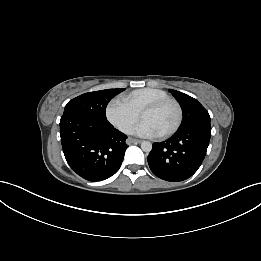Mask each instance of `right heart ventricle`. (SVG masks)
Masks as SVG:
<instances>
[{
    "label": "right heart ventricle",
    "instance_id": "obj_1",
    "mask_svg": "<svg viewBox=\"0 0 261 261\" xmlns=\"http://www.w3.org/2000/svg\"><path fill=\"white\" fill-rule=\"evenodd\" d=\"M169 98L168 94L156 88H142L134 90L123 97V99L138 113L148 104Z\"/></svg>",
    "mask_w": 261,
    "mask_h": 261
}]
</instances>
